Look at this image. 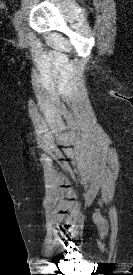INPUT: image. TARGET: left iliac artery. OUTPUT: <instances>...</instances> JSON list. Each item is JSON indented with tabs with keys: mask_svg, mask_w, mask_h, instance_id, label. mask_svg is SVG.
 <instances>
[{
	"mask_svg": "<svg viewBox=\"0 0 133 275\" xmlns=\"http://www.w3.org/2000/svg\"><path fill=\"white\" fill-rule=\"evenodd\" d=\"M21 10L18 9L15 14H14V22H16L17 20H19L21 18Z\"/></svg>",
	"mask_w": 133,
	"mask_h": 275,
	"instance_id": "left-iliac-artery-1",
	"label": "left iliac artery"
}]
</instances>
